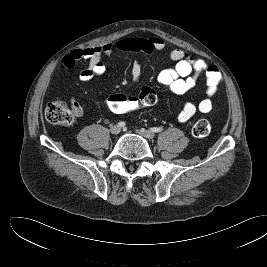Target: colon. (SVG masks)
<instances>
[{"label": "colon", "mask_w": 267, "mask_h": 267, "mask_svg": "<svg viewBox=\"0 0 267 267\" xmlns=\"http://www.w3.org/2000/svg\"><path fill=\"white\" fill-rule=\"evenodd\" d=\"M157 101L156 92L150 87H142L137 95L112 94L106 98L107 108L116 114H127L142 108L152 106ZM45 117L51 124L71 125L76 113L61 101H54L47 105ZM211 131L208 120L200 119L192 127V133L197 138L206 137Z\"/></svg>", "instance_id": "obj_1"}]
</instances>
